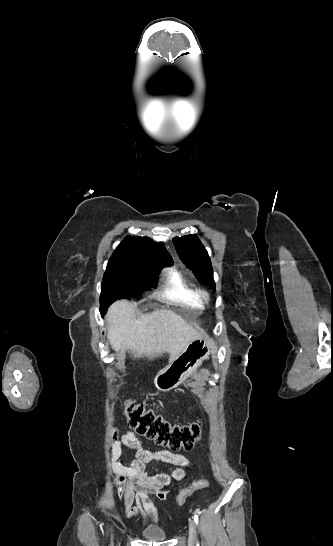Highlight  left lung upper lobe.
I'll use <instances>...</instances> for the list:
<instances>
[{
	"mask_svg": "<svg viewBox=\"0 0 333 546\" xmlns=\"http://www.w3.org/2000/svg\"><path fill=\"white\" fill-rule=\"evenodd\" d=\"M173 243L180 259L193 271L198 281L215 289L211 261L198 237L194 234L175 237Z\"/></svg>",
	"mask_w": 333,
	"mask_h": 546,
	"instance_id": "5c2ea615",
	"label": "left lung upper lobe"
}]
</instances>
